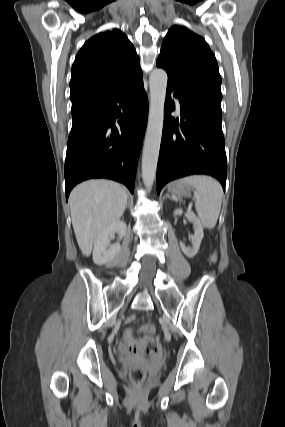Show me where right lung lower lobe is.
I'll return each instance as SVG.
<instances>
[{
    "instance_id": "obj_1",
    "label": "right lung lower lobe",
    "mask_w": 285,
    "mask_h": 427,
    "mask_svg": "<svg viewBox=\"0 0 285 427\" xmlns=\"http://www.w3.org/2000/svg\"><path fill=\"white\" fill-rule=\"evenodd\" d=\"M147 115L142 77L72 110L64 167L66 199L76 184L91 178L113 179L134 192Z\"/></svg>"
}]
</instances>
